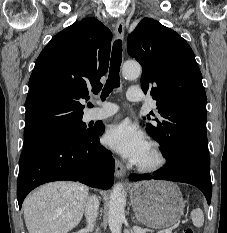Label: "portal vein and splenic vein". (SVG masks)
<instances>
[{"instance_id": "18ae733b", "label": "portal vein and splenic vein", "mask_w": 227, "mask_h": 233, "mask_svg": "<svg viewBox=\"0 0 227 233\" xmlns=\"http://www.w3.org/2000/svg\"><path fill=\"white\" fill-rule=\"evenodd\" d=\"M165 233H172V229L165 231Z\"/></svg>"}]
</instances>
